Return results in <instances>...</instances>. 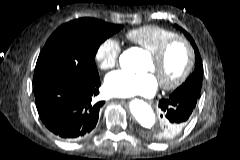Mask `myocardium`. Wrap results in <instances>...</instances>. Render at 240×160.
Returning a JSON list of instances; mask_svg holds the SVG:
<instances>
[{
	"label": "myocardium",
	"mask_w": 240,
	"mask_h": 160,
	"mask_svg": "<svg viewBox=\"0 0 240 160\" xmlns=\"http://www.w3.org/2000/svg\"><path fill=\"white\" fill-rule=\"evenodd\" d=\"M176 44H180L185 48L187 53V60L182 72L174 81L169 83L160 82V87L166 91H173L178 89L189 78L195 63L194 48L186 38L175 36L166 40L156 51L150 53V57L153 62L160 64L166 58L169 50Z\"/></svg>",
	"instance_id": "obj_1"
}]
</instances>
